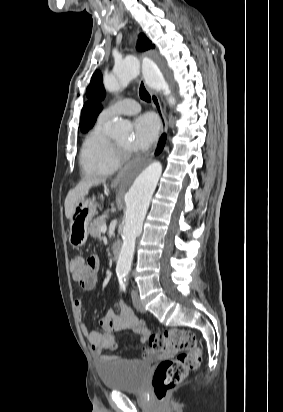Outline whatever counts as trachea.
Wrapping results in <instances>:
<instances>
[{
  "label": "trachea",
  "instance_id": "obj_1",
  "mask_svg": "<svg viewBox=\"0 0 283 412\" xmlns=\"http://www.w3.org/2000/svg\"><path fill=\"white\" fill-rule=\"evenodd\" d=\"M139 95L140 98L146 102H150L151 101V97L149 95V93L147 92V90L145 89V86L143 84V82H141L140 88H139Z\"/></svg>",
  "mask_w": 283,
  "mask_h": 412
}]
</instances>
